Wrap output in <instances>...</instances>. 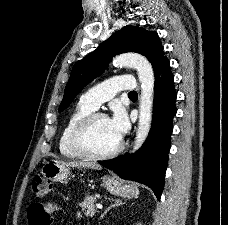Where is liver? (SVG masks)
Wrapping results in <instances>:
<instances>
[{"label": "liver", "mask_w": 228, "mask_h": 225, "mask_svg": "<svg viewBox=\"0 0 228 225\" xmlns=\"http://www.w3.org/2000/svg\"><path fill=\"white\" fill-rule=\"evenodd\" d=\"M66 165H69V167H94L92 163H66Z\"/></svg>", "instance_id": "6515ba94"}]
</instances>
